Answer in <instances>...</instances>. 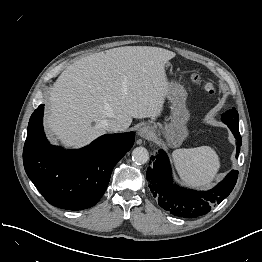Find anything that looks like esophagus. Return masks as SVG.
Masks as SVG:
<instances>
[{
    "instance_id": "1",
    "label": "esophagus",
    "mask_w": 262,
    "mask_h": 262,
    "mask_svg": "<svg viewBox=\"0 0 262 262\" xmlns=\"http://www.w3.org/2000/svg\"><path fill=\"white\" fill-rule=\"evenodd\" d=\"M138 135L144 139L151 140L154 137V133L149 126H142L138 130Z\"/></svg>"
}]
</instances>
